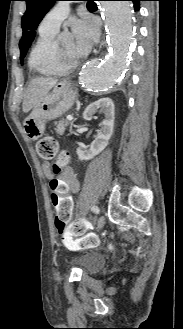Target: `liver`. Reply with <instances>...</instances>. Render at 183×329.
Returning a JSON list of instances; mask_svg holds the SVG:
<instances>
[{"label":"liver","instance_id":"liver-1","mask_svg":"<svg viewBox=\"0 0 183 329\" xmlns=\"http://www.w3.org/2000/svg\"><path fill=\"white\" fill-rule=\"evenodd\" d=\"M57 80L50 78L33 79L25 92L22 109L28 113L35 104L56 85Z\"/></svg>","mask_w":183,"mask_h":329}]
</instances>
